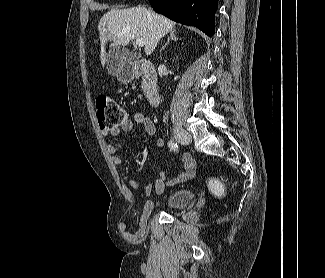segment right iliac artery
Listing matches in <instances>:
<instances>
[{
	"instance_id": "1",
	"label": "right iliac artery",
	"mask_w": 325,
	"mask_h": 278,
	"mask_svg": "<svg viewBox=\"0 0 325 278\" xmlns=\"http://www.w3.org/2000/svg\"><path fill=\"white\" fill-rule=\"evenodd\" d=\"M168 146H169L170 150H172V151H178V145H177L176 142L170 141L168 143Z\"/></svg>"
}]
</instances>
